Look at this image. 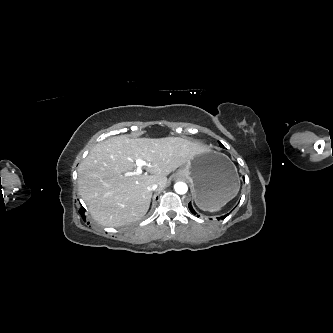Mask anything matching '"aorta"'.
I'll list each match as a JSON object with an SVG mask.
<instances>
[{
    "mask_svg": "<svg viewBox=\"0 0 333 333\" xmlns=\"http://www.w3.org/2000/svg\"><path fill=\"white\" fill-rule=\"evenodd\" d=\"M175 192L178 194H185L188 191V186L184 182H177L174 185Z\"/></svg>",
    "mask_w": 333,
    "mask_h": 333,
    "instance_id": "762f6f07",
    "label": "aorta"
}]
</instances>
